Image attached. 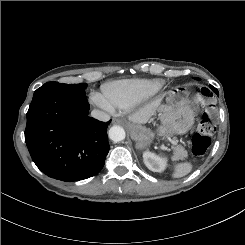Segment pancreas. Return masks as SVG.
<instances>
[{
    "mask_svg": "<svg viewBox=\"0 0 245 245\" xmlns=\"http://www.w3.org/2000/svg\"><path fill=\"white\" fill-rule=\"evenodd\" d=\"M173 149H174V159L176 160L183 159L184 157L187 156V152L182 146L176 145L173 147Z\"/></svg>",
    "mask_w": 245,
    "mask_h": 245,
    "instance_id": "cf45deb5",
    "label": "pancreas"
}]
</instances>
